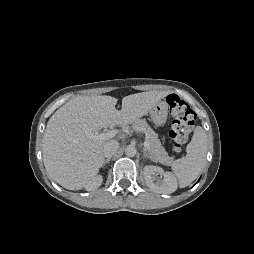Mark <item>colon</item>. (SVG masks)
I'll use <instances>...</instances> for the list:
<instances>
[{
    "instance_id": "colon-1",
    "label": "colon",
    "mask_w": 254,
    "mask_h": 254,
    "mask_svg": "<svg viewBox=\"0 0 254 254\" xmlns=\"http://www.w3.org/2000/svg\"><path fill=\"white\" fill-rule=\"evenodd\" d=\"M168 105L175 115L169 137L173 141L174 148L180 150L188 141L194 127L196 114L190 106L177 95L171 94L167 97Z\"/></svg>"
}]
</instances>
